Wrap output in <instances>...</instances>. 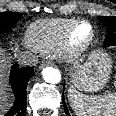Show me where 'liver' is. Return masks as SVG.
I'll list each match as a JSON object with an SVG mask.
<instances>
[{"instance_id":"obj_1","label":"liver","mask_w":116,"mask_h":116,"mask_svg":"<svg viewBox=\"0 0 116 116\" xmlns=\"http://www.w3.org/2000/svg\"><path fill=\"white\" fill-rule=\"evenodd\" d=\"M7 66H8L7 58L0 49V110H4L8 106L7 96L4 92V83L6 81L5 75Z\"/></svg>"}]
</instances>
